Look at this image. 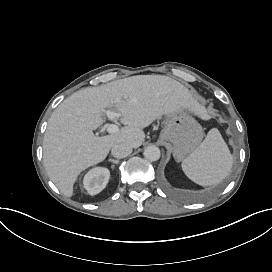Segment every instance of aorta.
Returning <instances> with one entry per match:
<instances>
[{"label": "aorta", "mask_w": 272, "mask_h": 272, "mask_svg": "<svg viewBox=\"0 0 272 272\" xmlns=\"http://www.w3.org/2000/svg\"><path fill=\"white\" fill-rule=\"evenodd\" d=\"M144 156L149 161H158L161 156L160 149L156 146H149L144 150Z\"/></svg>", "instance_id": "obj_1"}]
</instances>
